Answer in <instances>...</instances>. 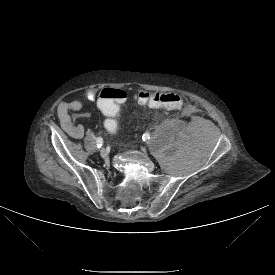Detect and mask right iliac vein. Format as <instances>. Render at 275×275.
Returning a JSON list of instances; mask_svg holds the SVG:
<instances>
[{
    "label": "right iliac vein",
    "instance_id": "right-iliac-vein-1",
    "mask_svg": "<svg viewBox=\"0 0 275 275\" xmlns=\"http://www.w3.org/2000/svg\"><path fill=\"white\" fill-rule=\"evenodd\" d=\"M100 155H101L102 157H106V156H107V151H106L105 149H101V150H100Z\"/></svg>",
    "mask_w": 275,
    "mask_h": 275
}]
</instances>
